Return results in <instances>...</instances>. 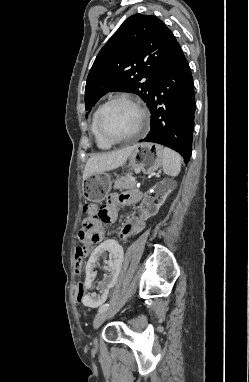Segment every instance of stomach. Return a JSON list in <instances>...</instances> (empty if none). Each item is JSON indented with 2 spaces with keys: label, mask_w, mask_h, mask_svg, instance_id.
<instances>
[{
  "label": "stomach",
  "mask_w": 249,
  "mask_h": 382,
  "mask_svg": "<svg viewBox=\"0 0 249 382\" xmlns=\"http://www.w3.org/2000/svg\"><path fill=\"white\" fill-rule=\"evenodd\" d=\"M163 161L162 147L153 143H140L133 146V151L128 157L131 169L152 174ZM111 189V179L107 173L95 172L90 174L82 185L83 196L91 202H101Z\"/></svg>",
  "instance_id": "1"
}]
</instances>
